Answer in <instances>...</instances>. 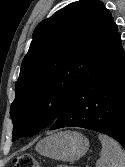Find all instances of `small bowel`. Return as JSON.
<instances>
[{"mask_svg":"<svg viewBox=\"0 0 125 167\" xmlns=\"http://www.w3.org/2000/svg\"><path fill=\"white\" fill-rule=\"evenodd\" d=\"M57 167H70V166H66V165H59Z\"/></svg>","mask_w":125,"mask_h":167,"instance_id":"small-bowel-1","label":"small bowel"}]
</instances>
